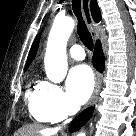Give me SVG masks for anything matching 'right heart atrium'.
I'll list each match as a JSON object with an SVG mask.
<instances>
[{
  "instance_id": "right-heart-atrium-1",
  "label": "right heart atrium",
  "mask_w": 136,
  "mask_h": 136,
  "mask_svg": "<svg viewBox=\"0 0 136 136\" xmlns=\"http://www.w3.org/2000/svg\"><path fill=\"white\" fill-rule=\"evenodd\" d=\"M39 103L51 121H60L74 111L61 87L47 81L40 83Z\"/></svg>"
}]
</instances>
